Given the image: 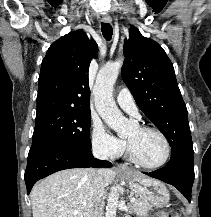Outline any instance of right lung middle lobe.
I'll list each match as a JSON object with an SVG mask.
<instances>
[{
    "instance_id": "1",
    "label": "right lung middle lobe",
    "mask_w": 211,
    "mask_h": 217,
    "mask_svg": "<svg viewBox=\"0 0 211 217\" xmlns=\"http://www.w3.org/2000/svg\"><path fill=\"white\" fill-rule=\"evenodd\" d=\"M90 112H58L36 118L34 144H58L79 151L91 150Z\"/></svg>"
}]
</instances>
